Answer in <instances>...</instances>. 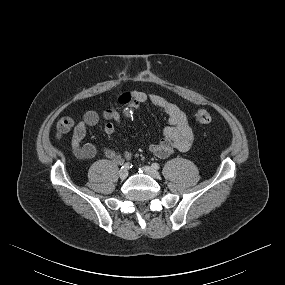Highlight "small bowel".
I'll return each mask as SVG.
<instances>
[{"label":"small bowel","mask_w":285,"mask_h":285,"mask_svg":"<svg viewBox=\"0 0 285 285\" xmlns=\"http://www.w3.org/2000/svg\"><path fill=\"white\" fill-rule=\"evenodd\" d=\"M144 103H151L161 109L169 122V125L162 131V138L158 142L150 144V151L160 158L168 157L175 150L188 151L194 140V132L186 113L178 105L158 94L137 90L122 93L114 104L122 106L124 115L131 118L134 110ZM101 117L107 121L104 126V132L107 135H113L121 122V115L113 106L107 107L102 115L94 110L87 111L83 119L75 126L71 140L72 152L78 159L90 160L96 156L97 148L91 144H83V140L88 130L94 127ZM101 150L105 157L116 164H121L125 159L132 157L130 151L120 154L108 147H103Z\"/></svg>","instance_id":"c3829d8e"}]
</instances>
